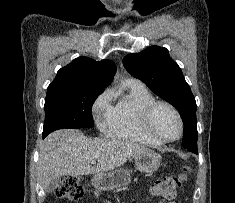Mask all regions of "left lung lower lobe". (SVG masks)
I'll return each mask as SVG.
<instances>
[{
    "label": "left lung lower lobe",
    "mask_w": 235,
    "mask_h": 203,
    "mask_svg": "<svg viewBox=\"0 0 235 203\" xmlns=\"http://www.w3.org/2000/svg\"><path fill=\"white\" fill-rule=\"evenodd\" d=\"M183 134H184V137H183L182 145L187 149L192 148V146L190 145V142H191V138H192L193 133L190 130L184 129ZM195 153H197V150L195 151Z\"/></svg>",
    "instance_id": "0a47b994"
}]
</instances>
